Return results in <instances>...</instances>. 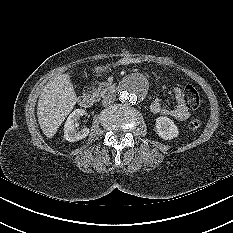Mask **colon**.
<instances>
[{"instance_id":"1","label":"colon","mask_w":233,"mask_h":233,"mask_svg":"<svg viewBox=\"0 0 233 233\" xmlns=\"http://www.w3.org/2000/svg\"><path fill=\"white\" fill-rule=\"evenodd\" d=\"M184 99L187 105L193 109L198 108L201 105V97L198 90L193 85H187L184 88ZM203 124L201 117L191 118L188 122V128L190 130H197Z\"/></svg>"}]
</instances>
